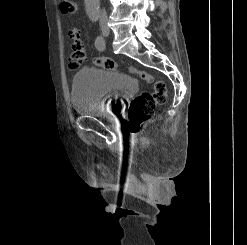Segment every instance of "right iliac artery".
<instances>
[{"instance_id": "82829eb1", "label": "right iliac artery", "mask_w": 247, "mask_h": 245, "mask_svg": "<svg viewBox=\"0 0 247 245\" xmlns=\"http://www.w3.org/2000/svg\"><path fill=\"white\" fill-rule=\"evenodd\" d=\"M95 47L99 50V51H104L105 47H106V43L105 40L102 36H98L95 40Z\"/></svg>"}]
</instances>
